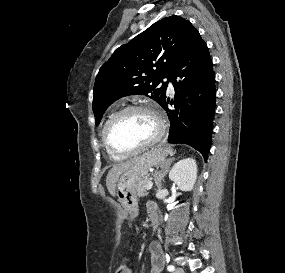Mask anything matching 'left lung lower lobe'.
<instances>
[{
    "label": "left lung lower lobe",
    "instance_id": "obj_1",
    "mask_svg": "<svg viewBox=\"0 0 285 273\" xmlns=\"http://www.w3.org/2000/svg\"><path fill=\"white\" fill-rule=\"evenodd\" d=\"M212 60L205 41L194 30L170 81L175 88L174 109L169 99L161 106L170 124L169 143H183L200 151L207 161L215 113V78Z\"/></svg>",
    "mask_w": 285,
    "mask_h": 273
}]
</instances>
